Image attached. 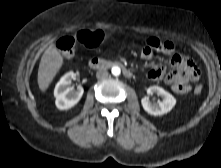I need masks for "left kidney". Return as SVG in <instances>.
Returning a JSON list of instances; mask_svg holds the SVG:
<instances>
[{
	"label": "left kidney",
	"instance_id": "5707ae66",
	"mask_svg": "<svg viewBox=\"0 0 221 168\" xmlns=\"http://www.w3.org/2000/svg\"><path fill=\"white\" fill-rule=\"evenodd\" d=\"M147 94H156L161 96L162 100L157 103H152L148 97L141 100L143 109L150 115L161 116L172 110L176 104V99L167 91L159 86H150L147 89Z\"/></svg>",
	"mask_w": 221,
	"mask_h": 168
}]
</instances>
